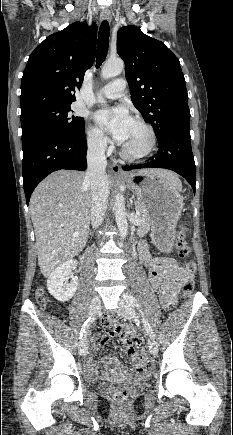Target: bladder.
<instances>
[{
	"label": "bladder",
	"instance_id": "bladder-1",
	"mask_svg": "<svg viewBox=\"0 0 233 435\" xmlns=\"http://www.w3.org/2000/svg\"><path fill=\"white\" fill-rule=\"evenodd\" d=\"M148 378H149L148 375H146V376H142V377H140V378L137 379L136 384L143 383V382H144L146 379H148Z\"/></svg>",
	"mask_w": 233,
	"mask_h": 435
}]
</instances>
